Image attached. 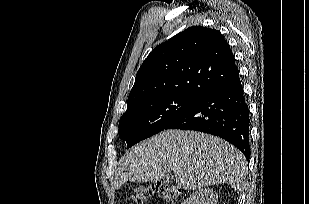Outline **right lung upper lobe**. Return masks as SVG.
I'll use <instances>...</instances> for the list:
<instances>
[{"label": "right lung upper lobe", "instance_id": "right-lung-upper-lobe-1", "mask_svg": "<svg viewBox=\"0 0 309 204\" xmlns=\"http://www.w3.org/2000/svg\"><path fill=\"white\" fill-rule=\"evenodd\" d=\"M238 74L234 56L222 34L193 26L148 55L136 74L127 105L167 95L200 98L231 82Z\"/></svg>", "mask_w": 309, "mask_h": 204}]
</instances>
